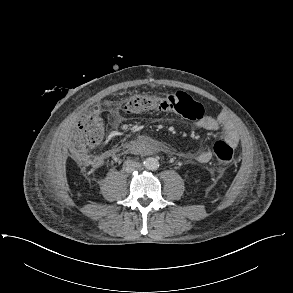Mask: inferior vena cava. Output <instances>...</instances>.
<instances>
[{
  "instance_id": "inferior-vena-cava-1",
  "label": "inferior vena cava",
  "mask_w": 293,
  "mask_h": 293,
  "mask_svg": "<svg viewBox=\"0 0 293 293\" xmlns=\"http://www.w3.org/2000/svg\"><path fill=\"white\" fill-rule=\"evenodd\" d=\"M141 167V164L139 162L133 161V160H126L123 163V169L126 172H132L135 169H138Z\"/></svg>"
}]
</instances>
